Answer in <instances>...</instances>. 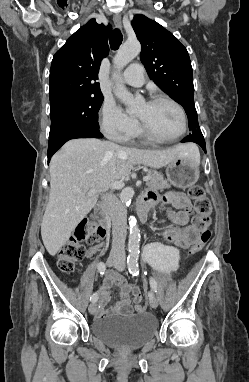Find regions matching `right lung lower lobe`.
<instances>
[{"label":"right lung lower lobe","mask_w":249,"mask_h":382,"mask_svg":"<svg viewBox=\"0 0 249 382\" xmlns=\"http://www.w3.org/2000/svg\"><path fill=\"white\" fill-rule=\"evenodd\" d=\"M98 128L79 127L49 137L48 163L52 155L68 140L75 138H102Z\"/></svg>","instance_id":"98d812e1"}]
</instances>
